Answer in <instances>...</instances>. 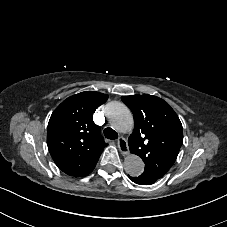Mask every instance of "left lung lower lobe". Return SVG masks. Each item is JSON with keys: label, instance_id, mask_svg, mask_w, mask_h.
<instances>
[{"label": "left lung lower lobe", "instance_id": "left-lung-lower-lobe-1", "mask_svg": "<svg viewBox=\"0 0 227 227\" xmlns=\"http://www.w3.org/2000/svg\"><path fill=\"white\" fill-rule=\"evenodd\" d=\"M130 180L133 181L136 184H140V185H150L153 184L154 182H156L159 178L147 174V173H142L140 176L138 177H130Z\"/></svg>", "mask_w": 227, "mask_h": 227}]
</instances>
